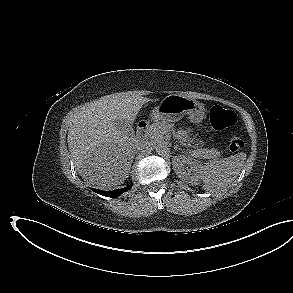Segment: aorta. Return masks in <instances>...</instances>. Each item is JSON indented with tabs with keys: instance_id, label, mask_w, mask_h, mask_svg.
Segmentation results:
<instances>
[{
	"instance_id": "obj_1",
	"label": "aorta",
	"mask_w": 293,
	"mask_h": 293,
	"mask_svg": "<svg viewBox=\"0 0 293 293\" xmlns=\"http://www.w3.org/2000/svg\"><path fill=\"white\" fill-rule=\"evenodd\" d=\"M156 152L159 155H165L168 152V147L164 143H160L156 146Z\"/></svg>"
}]
</instances>
